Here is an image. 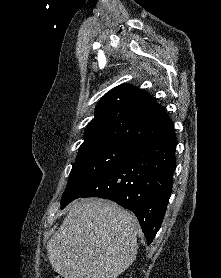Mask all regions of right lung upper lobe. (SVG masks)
I'll use <instances>...</instances> for the list:
<instances>
[{
  "label": "right lung upper lobe",
  "instance_id": "1",
  "mask_svg": "<svg viewBox=\"0 0 221 278\" xmlns=\"http://www.w3.org/2000/svg\"><path fill=\"white\" fill-rule=\"evenodd\" d=\"M172 133L174 126L162 106L149 93L123 84L110 90L99 101L95 117L86 127L83 144L115 140L136 145Z\"/></svg>",
  "mask_w": 221,
  "mask_h": 278
}]
</instances>
